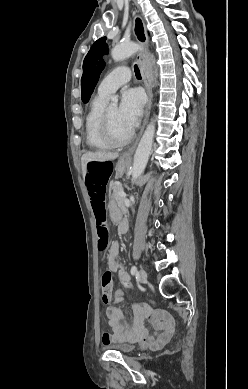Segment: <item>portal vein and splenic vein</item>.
Instances as JSON below:
<instances>
[{
	"mask_svg": "<svg viewBox=\"0 0 248 389\" xmlns=\"http://www.w3.org/2000/svg\"><path fill=\"white\" fill-rule=\"evenodd\" d=\"M119 194H120L121 196H123V197H126V193L123 192V191L119 192Z\"/></svg>",
	"mask_w": 248,
	"mask_h": 389,
	"instance_id": "obj_1",
	"label": "portal vein and splenic vein"
}]
</instances>
